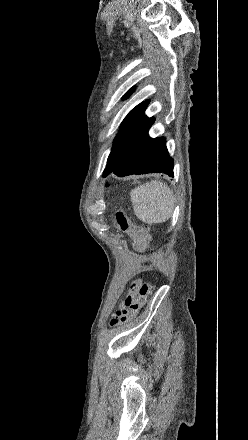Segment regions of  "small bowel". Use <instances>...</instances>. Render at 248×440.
<instances>
[{
  "mask_svg": "<svg viewBox=\"0 0 248 440\" xmlns=\"http://www.w3.org/2000/svg\"><path fill=\"white\" fill-rule=\"evenodd\" d=\"M129 232L134 241V246L138 249V244L140 240V229L137 227H132Z\"/></svg>",
  "mask_w": 248,
  "mask_h": 440,
  "instance_id": "1",
  "label": "small bowel"
}]
</instances>
